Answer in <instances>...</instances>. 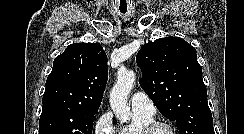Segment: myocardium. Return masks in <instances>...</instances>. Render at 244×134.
Segmentation results:
<instances>
[{"mask_svg":"<svg viewBox=\"0 0 244 134\" xmlns=\"http://www.w3.org/2000/svg\"><path fill=\"white\" fill-rule=\"evenodd\" d=\"M165 128L171 134H179L173 125L163 121H153L142 127L140 134H155L158 129Z\"/></svg>","mask_w":244,"mask_h":134,"instance_id":"f54148a6","label":"myocardium"}]
</instances>
